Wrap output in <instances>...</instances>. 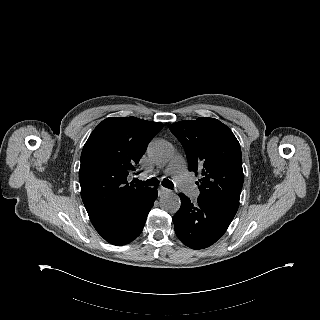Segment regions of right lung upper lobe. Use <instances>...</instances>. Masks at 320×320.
<instances>
[{
    "label": "right lung upper lobe",
    "instance_id": "cb5924a9",
    "mask_svg": "<svg viewBox=\"0 0 320 320\" xmlns=\"http://www.w3.org/2000/svg\"><path fill=\"white\" fill-rule=\"evenodd\" d=\"M163 124L135 117H110L91 133L81 153V196L90 220L136 201L149 188L129 184L153 136Z\"/></svg>",
    "mask_w": 320,
    "mask_h": 320
}]
</instances>
